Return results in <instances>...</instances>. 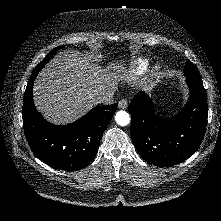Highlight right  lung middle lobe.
<instances>
[{
    "label": "right lung middle lobe",
    "mask_w": 221,
    "mask_h": 221,
    "mask_svg": "<svg viewBox=\"0 0 221 221\" xmlns=\"http://www.w3.org/2000/svg\"><path fill=\"white\" fill-rule=\"evenodd\" d=\"M63 46L57 47L53 49L33 70V73L31 76H37L38 72L45 66L46 63L49 62V60L53 57V55L56 53L57 49L61 48Z\"/></svg>",
    "instance_id": "1"
}]
</instances>
